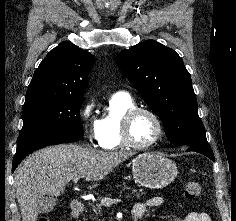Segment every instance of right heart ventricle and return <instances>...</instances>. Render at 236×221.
<instances>
[{"mask_svg":"<svg viewBox=\"0 0 236 221\" xmlns=\"http://www.w3.org/2000/svg\"><path fill=\"white\" fill-rule=\"evenodd\" d=\"M135 101L128 94H114L103 111L98 125L100 129V146L105 150L123 149L120 136L121 119L125 112L135 107Z\"/></svg>","mask_w":236,"mask_h":221,"instance_id":"1","label":"right heart ventricle"}]
</instances>
